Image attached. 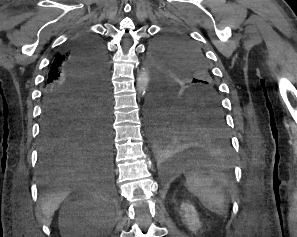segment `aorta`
<instances>
[{"label":"aorta","mask_w":297,"mask_h":237,"mask_svg":"<svg viewBox=\"0 0 297 237\" xmlns=\"http://www.w3.org/2000/svg\"><path fill=\"white\" fill-rule=\"evenodd\" d=\"M149 84V75L147 71H141L137 77L136 87L138 92L143 96L146 93Z\"/></svg>","instance_id":"aorta-1"}]
</instances>
